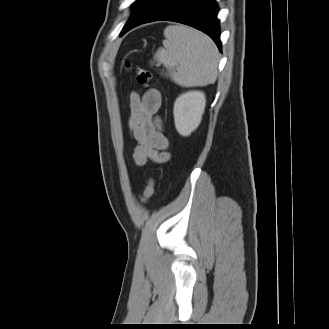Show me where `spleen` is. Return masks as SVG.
<instances>
[{
	"instance_id": "3e777b00",
	"label": "spleen",
	"mask_w": 329,
	"mask_h": 329,
	"mask_svg": "<svg viewBox=\"0 0 329 329\" xmlns=\"http://www.w3.org/2000/svg\"><path fill=\"white\" fill-rule=\"evenodd\" d=\"M164 48L154 55L168 76L183 87L206 86L217 79L219 52L204 33L183 25H171L164 30Z\"/></svg>"
}]
</instances>
